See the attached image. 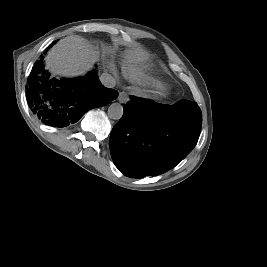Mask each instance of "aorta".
<instances>
[{
  "label": "aorta",
  "instance_id": "obj_1",
  "mask_svg": "<svg viewBox=\"0 0 267 267\" xmlns=\"http://www.w3.org/2000/svg\"><path fill=\"white\" fill-rule=\"evenodd\" d=\"M123 115V106L119 103H112L108 107V116L111 119L119 120Z\"/></svg>",
  "mask_w": 267,
  "mask_h": 267
}]
</instances>
